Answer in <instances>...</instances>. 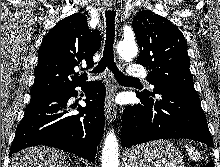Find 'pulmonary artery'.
Instances as JSON below:
<instances>
[{"label": "pulmonary artery", "mask_w": 220, "mask_h": 167, "mask_svg": "<svg viewBox=\"0 0 220 167\" xmlns=\"http://www.w3.org/2000/svg\"><path fill=\"white\" fill-rule=\"evenodd\" d=\"M128 74L131 77L144 78L146 77L147 71L142 65L132 64L128 68Z\"/></svg>", "instance_id": "pulmonary-artery-1"}]
</instances>
